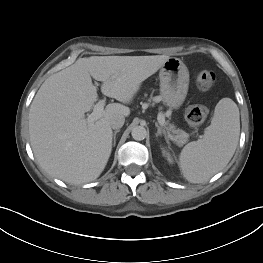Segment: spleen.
<instances>
[{
    "label": "spleen",
    "instance_id": "1",
    "mask_svg": "<svg viewBox=\"0 0 263 263\" xmlns=\"http://www.w3.org/2000/svg\"><path fill=\"white\" fill-rule=\"evenodd\" d=\"M239 109L230 98L215 107L203 139L185 145L179 157L183 176L191 183H202L224 168L232 158L239 140Z\"/></svg>",
    "mask_w": 263,
    "mask_h": 263
}]
</instances>
